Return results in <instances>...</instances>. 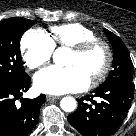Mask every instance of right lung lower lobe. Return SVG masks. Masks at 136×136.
Returning a JSON list of instances; mask_svg holds the SVG:
<instances>
[{
	"label": "right lung lower lobe",
	"mask_w": 136,
	"mask_h": 136,
	"mask_svg": "<svg viewBox=\"0 0 136 136\" xmlns=\"http://www.w3.org/2000/svg\"><path fill=\"white\" fill-rule=\"evenodd\" d=\"M31 84L28 76L11 87H0V136H28L38 122L39 107L45 102V95L35 99H20ZM20 99L21 107L15 101Z\"/></svg>",
	"instance_id": "obj_1"
}]
</instances>
